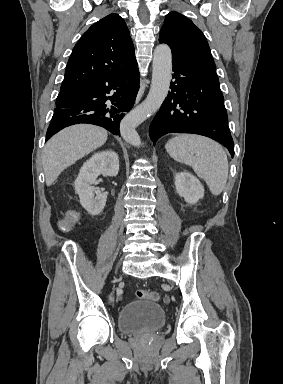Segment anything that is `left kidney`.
I'll return each mask as SVG.
<instances>
[{
    "mask_svg": "<svg viewBox=\"0 0 283 384\" xmlns=\"http://www.w3.org/2000/svg\"><path fill=\"white\" fill-rule=\"evenodd\" d=\"M175 186L179 196H182L188 204H196L198 200L204 198V188L201 182L186 170L176 174Z\"/></svg>",
    "mask_w": 283,
    "mask_h": 384,
    "instance_id": "left-kidney-1",
    "label": "left kidney"
}]
</instances>
